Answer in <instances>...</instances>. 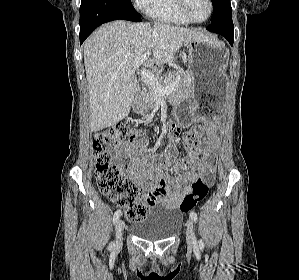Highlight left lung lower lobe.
<instances>
[{
    "label": "left lung lower lobe",
    "mask_w": 299,
    "mask_h": 280,
    "mask_svg": "<svg viewBox=\"0 0 299 280\" xmlns=\"http://www.w3.org/2000/svg\"><path fill=\"white\" fill-rule=\"evenodd\" d=\"M206 29L221 34L233 45L234 25L230 0L220 1L218 10L214 14L211 24Z\"/></svg>",
    "instance_id": "left-lung-lower-lobe-1"
}]
</instances>
